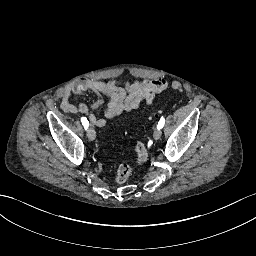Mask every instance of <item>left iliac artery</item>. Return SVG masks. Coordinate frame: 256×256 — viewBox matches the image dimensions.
<instances>
[{
    "label": "left iliac artery",
    "mask_w": 256,
    "mask_h": 256,
    "mask_svg": "<svg viewBox=\"0 0 256 256\" xmlns=\"http://www.w3.org/2000/svg\"><path fill=\"white\" fill-rule=\"evenodd\" d=\"M164 124H165V119L164 117H161L160 121L158 122L157 128L159 129L163 128Z\"/></svg>",
    "instance_id": "44dca946"
}]
</instances>
